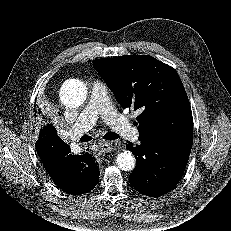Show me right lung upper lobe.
<instances>
[{"label": "right lung upper lobe", "mask_w": 231, "mask_h": 231, "mask_svg": "<svg viewBox=\"0 0 231 231\" xmlns=\"http://www.w3.org/2000/svg\"><path fill=\"white\" fill-rule=\"evenodd\" d=\"M34 110H35L34 116H35L37 119H39V118H40V113H41L40 109L37 108V109H34ZM50 126H52V125L48 124V125L45 126V128H48V127H50Z\"/></svg>", "instance_id": "1"}]
</instances>
